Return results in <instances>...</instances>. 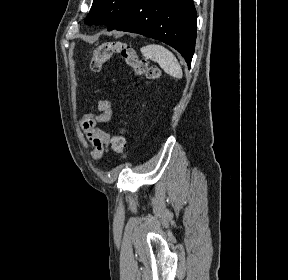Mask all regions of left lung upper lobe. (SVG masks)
Wrapping results in <instances>:
<instances>
[{
	"mask_svg": "<svg viewBox=\"0 0 288 280\" xmlns=\"http://www.w3.org/2000/svg\"><path fill=\"white\" fill-rule=\"evenodd\" d=\"M138 0H93L87 24H105L111 31Z\"/></svg>",
	"mask_w": 288,
	"mask_h": 280,
	"instance_id": "5c2ea615",
	"label": "left lung upper lobe"
}]
</instances>
